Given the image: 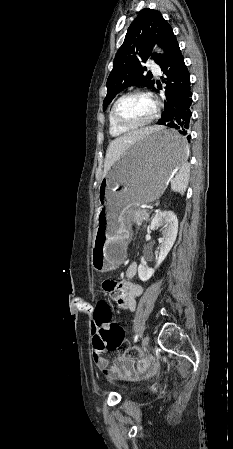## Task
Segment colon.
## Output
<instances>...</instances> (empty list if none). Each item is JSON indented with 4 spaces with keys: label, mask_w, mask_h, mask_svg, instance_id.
Instances as JSON below:
<instances>
[{
    "label": "colon",
    "mask_w": 233,
    "mask_h": 449,
    "mask_svg": "<svg viewBox=\"0 0 233 449\" xmlns=\"http://www.w3.org/2000/svg\"><path fill=\"white\" fill-rule=\"evenodd\" d=\"M94 319L90 325L94 335V349L102 351H119L127 356H134L137 348L129 345L121 325L113 320V311L106 304L94 310Z\"/></svg>",
    "instance_id": "colon-1"
}]
</instances>
